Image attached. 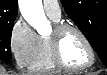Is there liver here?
<instances>
[{"label": "liver", "mask_w": 107, "mask_h": 75, "mask_svg": "<svg viewBox=\"0 0 107 75\" xmlns=\"http://www.w3.org/2000/svg\"><path fill=\"white\" fill-rule=\"evenodd\" d=\"M0 75H7V74L3 70H1ZM17 75H34V74H32V73H19Z\"/></svg>", "instance_id": "6515ba94"}]
</instances>
